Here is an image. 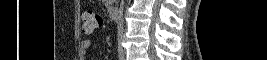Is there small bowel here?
I'll list each match as a JSON object with an SVG mask.
<instances>
[{"label":"small bowel","instance_id":"c3829d8e","mask_svg":"<svg viewBox=\"0 0 267 60\" xmlns=\"http://www.w3.org/2000/svg\"><path fill=\"white\" fill-rule=\"evenodd\" d=\"M82 45H83V49L87 50L89 48V46H90V42L87 41V40L83 41Z\"/></svg>","mask_w":267,"mask_h":60}]
</instances>
